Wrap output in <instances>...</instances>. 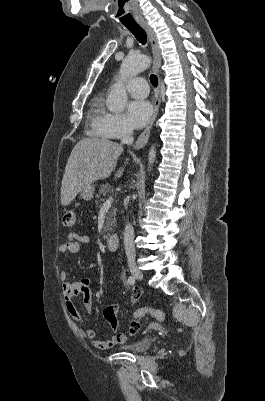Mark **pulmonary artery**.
<instances>
[{
    "mask_svg": "<svg viewBox=\"0 0 265 401\" xmlns=\"http://www.w3.org/2000/svg\"><path fill=\"white\" fill-rule=\"evenodd\" d=\"M142 69H138L135 75L132 76L131 81L125 82V89L130 90V94L132 95V99L134 101H143L145 97L148 95V83L143 81V78L140 74Z\"/></svg>",
    "mask_w": 265,
    "mask_h": 401,
    "instance_id": "1",
    "label": "pulmonary artery"
}]
</instances>
